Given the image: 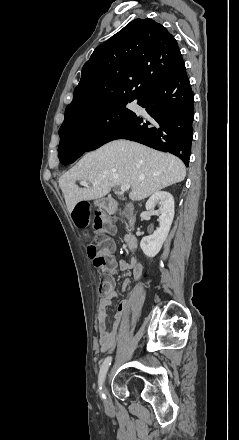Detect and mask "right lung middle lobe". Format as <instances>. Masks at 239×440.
Returning a JSON list of instances; mask_svg holds the SVG:
<instances>
[{
  "mask_svg": "<svg viewBox=\"0 0 239 440\" xmlns=\"http://www.w3.org/2000/svg\"><path fill=\"white\" fill-rule=\"evenodd\" d=\"M137 98L117 97L102 106L65 120L59 129L60 144L64 147H87L103 132L127 120L133 112L126 109V104Z\"/></svg>",
  "mask_w": 239,
  "mask_h": 440,
  "instance_id": "obj_1",
  "label": "right lung middle lobe"
}]
</instances>
